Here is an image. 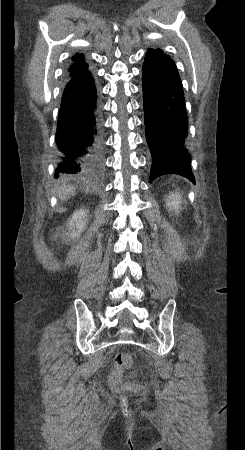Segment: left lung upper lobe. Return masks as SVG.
Returning a JSON list of instances; mask_svg holds the SVG:
<instances>
[{
	"instance_id": "5c2ea615",
	"label": "left lung upper lobe",
	"mask_w": 245,
	"mask_h": 450,
	"mask_svg": "<svg viewBox=\"0 0 245 450\" xmlns=\"http://www.w3.org/2000/svg\"><path fill=\"white\" fill-rule=\"evenodd\" d=\"M160 57H168L161 49H148L145 60L157 59Z\"/></svg>"
}]
</instances>
